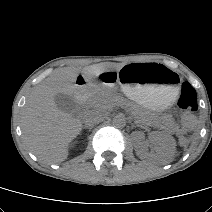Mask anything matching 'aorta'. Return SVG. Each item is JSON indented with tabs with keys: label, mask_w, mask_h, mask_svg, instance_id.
I'll return each instance as SVG.
<instances>
[{
	"label": "aorta",
	"mask_w": 212,
	"mask_h": 212,
	"mask_svg": "<svg viewBox=\"0 0 212 212\" xmlns=\"http://www.w3.org/2000/svg\"><path fill=\"white\" fill-rule=\"evenodd\" d=\"M112 124L117 128H123L126 125V118L123 115H116L112 120Z\"/></svg>",
	"instance_id": "762f6f07"
}]
</instances>
